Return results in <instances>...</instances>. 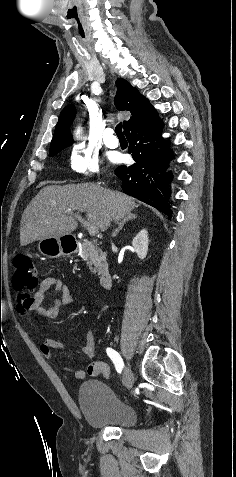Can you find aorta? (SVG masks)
Wrapping results in <instances>:
<instances>
[{
	"label": "aorta",
	"instance_id": "aorta-1",
	"mask_svg": "<svg viewBox=\"0 0 236 477\" xmlns=\"http://www.w3.org/2000/svg\"><path fill=\"white\" fill-rule=\"evenodd\" d=\"M80 134H81V129H80V127H78V128H77V131H76V133H75V136H76L77 138H79V137H80Z\"/></svg>",
	"mask_w": 236,
	"mask_h": 477
}]
</instances>
